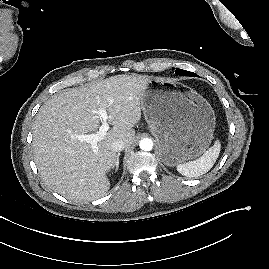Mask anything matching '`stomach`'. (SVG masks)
Segmentation results:
<instances>
[{"label":"stomach","mask_w":269,"mask_h":269,"mask_svg":"<svg viewBox=\"0 0 269 269\" xmlns=\"http://www.w3.org/2000/svg\"><path fill=\"white\" fill-rule=\"evenodd\" d=\"M141 106L159 155L167 166L201 155L215 128L211 105L200 94L171 80L150 79Z\"/></svg>","instance_id":"1"}]
</instances>
